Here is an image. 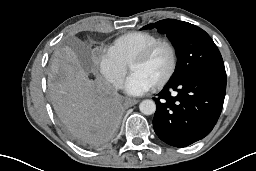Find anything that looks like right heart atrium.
Returning a JSON list of instances; mask_svg holds the SVG:
<instances>
[{"instance_id": "d8ad5b80", "label": "right heart atrium", "mask_w": 256, "mask_h": 171, "mask_svg": "<svg viewBox=\"0 0 256 171\" xmlns=\"http://www.w3.org/2000/svg\"><path fill=\"white\" fill-rule=\"evenodd\" d=\"M93 68L113 89H119L127 73L126 66L108 51L95 52L92 55Z\"/></svg>"}]
</instances>
